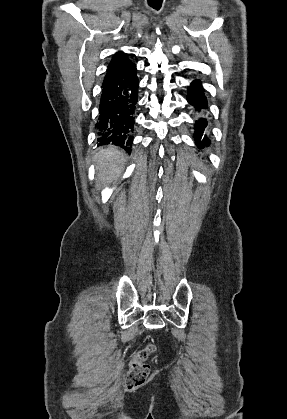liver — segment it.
<instances>
[{"label":"liver","mask_w":287,"mask_h":419,"mask_svg":"<svg viewBox=\"0 0 287 419\" xmlns=\"http://www.w3.org/2000/svg\"><path fill=\"white\" fill-rule=\"evenodd\" d=\"M96 163V189L100 190L113 182L122 172L125 162L124 154L118 147L101 148L94 157Z\"/></svg>","instance_id":"obj_1"}]
</instances>
